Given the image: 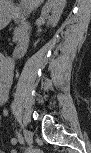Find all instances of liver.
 Segmentation results:
<instances>
[{"instance_id":"liver-1","label":"liver","mask_w":91,"mask_h":153,"mask_svg":"<svg viewBox=\"0 0 91 153\" xmlns=\"http://www.w3.org/2000/svg\"><path fill=\"white\" fill-rule=\"evenodd\" d=\"M43 0H24V6L27 7L30 11L36 9ZM65 6V0H59Z\"/></svg>"}]
</instances>
